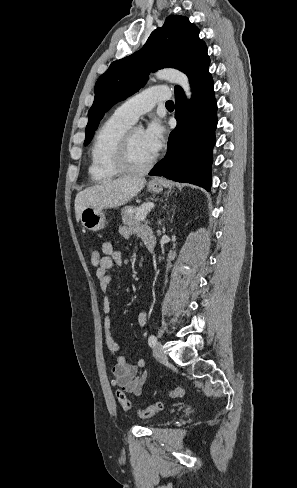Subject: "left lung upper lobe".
Listing matches in <instances>:
<instances>
[{
  "instance_id": "5c2ea615",
  "label": "left lung upper lobe",
  "mask_w": 297,
  "mask_h": 488,
  "mask_svg": "<svg viewBox=\"0 0 297 488\" xmlns=\"http://www.w3.org/2000/svg\"><path fill=\"white\" fill-rule=\"evenodd\" d=\"M207 46L199 38V29L187 17L169 16L163 27L152 32L143 48L114 61L95 84V99L88 113L86 138L89 144L100 120L114 104L144 86L150 72L173 67L187 74L191 86L209 73ZM182 91L175 86V93Z\"/></svg>"
}]
</instances>
